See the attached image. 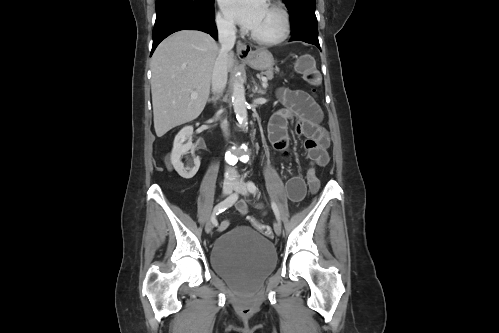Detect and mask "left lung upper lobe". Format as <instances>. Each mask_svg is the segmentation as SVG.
I'll use <instances>...</instances> for the list:
<instances>
[{
    "instance_id": "1",
    "label": "left lung upper lobe",
    "mask_w": 499,
    "mask_h": 333,
    "mask_svg": "<svg viewBox=\"0 0 499 333\" xmlns=\"http://www.w3.org/2000/svg\"><path fill=\"white\" fill-rule=\"evenodd\" d=\"M290 13L298 10H313L315 11L316 0H283Z\"/></svg>"
}]
</instances>
